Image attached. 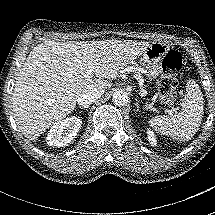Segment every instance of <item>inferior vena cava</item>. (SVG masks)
<instances>
[{"label":"inferior vena cava","instance_id":"1","mask_svg":"<svg viewBox=\"0 0 215 215\" xmlns=\"http://www.w3.org/2000/svg\"><path fill=\"white\" fill-rule=\"evenodd\" d=\"M104 90L97 91V92H85L82 93L78 99L77 103L82 107H87L94 103L96 100L100 99L103 95Z\"/></svg>","mask_w":215,"mask_h":215}]
</instances>
